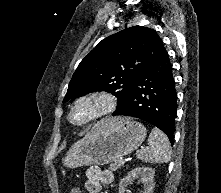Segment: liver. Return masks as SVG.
<instances>
[{
  "label": "liver",
  "mask_w": 221,
  "mask_h": 193,
  "mask_svg": "<svg viewBox=\"0 0 221 193\" xmlns=\"http://www.w3.org/2000/svg\"><path fill=\"white\" fill-rule=\"evenodd\" d=\"M121 120V118H107V119H104V121L107 123V124H113L114 122H117Z\"/></svg>",
  "instance_id": "1"
}]
</instances>
